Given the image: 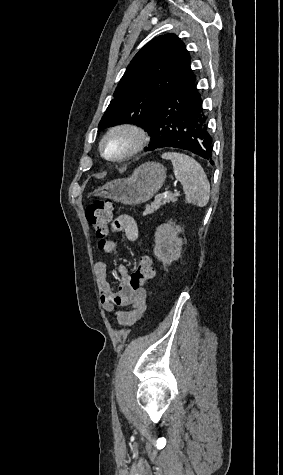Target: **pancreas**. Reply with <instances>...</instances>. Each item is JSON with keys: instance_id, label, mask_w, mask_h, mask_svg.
<instances>
[{"instance_id": "pancreas-1", "label": "pancreas", "mask_w": 283, "mask_h": 475, "mask_svg": "<svg viewBox=\"0 0 283 475\" xmlns=\"http://www.w3.org/2000/svg\"><path fill=\"white\" fill-rule=\"evenodd\" d=\"M170 202H177L176 196L173 194H167V196H160L157 200H154L152 204H147L145 212H143V216H148V214H154L159 210L160 206H165V204H170Z\"/></svg>"}]
</instances>
